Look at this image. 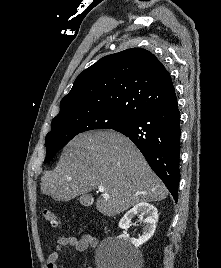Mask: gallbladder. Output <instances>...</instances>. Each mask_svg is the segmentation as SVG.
<instances>
[{
    "label": "gallbladder",
    "mask_w": 221,
    "mask_h": 268,
    "mask_svg": "<svg viewBox=\"0 0 221 268\" xmlns=\"http://www.w3.org/2000/svg\"><path fill=\"white\" fill-rule=\"evenodd\" d=\"M82 205L84 206H90L93 202V198L90 195H84L81 199H80Z\"/></svg>",
    "instance_id": "obj_1"
}]
</instances>
